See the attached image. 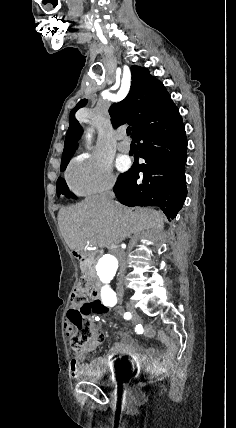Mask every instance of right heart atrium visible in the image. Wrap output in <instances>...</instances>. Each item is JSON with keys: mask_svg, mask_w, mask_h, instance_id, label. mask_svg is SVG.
I'll list each match as a JSON object with an SVG mask.
<instances>
[{"mask_svg": "<svg viewBox=\"0 0 236 428\" xmlns=\"http://www.w3.org/2000/svg\"><path fill=\"white\" fill-rule=\"evenodd\" d=\"M70 191L81 198L112 192L117 178L109 164L98 157L81 155L71 162L66 175Z\"/></svg>", "mask_w": 236, "mask_h": 428, "instance_id": "right-heart-atrium-1", "label": "right heart atrium"}]
</instances>
